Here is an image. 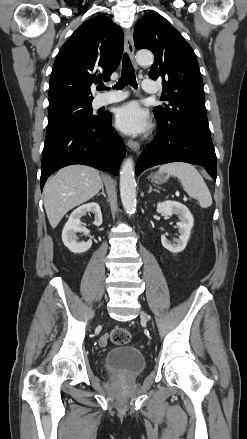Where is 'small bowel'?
Returning <instances> with one entry per match:
<instances>
[{
  "mask_svg": "<svg viewBox=\"0 0 247 439\" xmlns=\"http://www.w3.org/2000/svg\"><path fill=\"white\" fill-rule=\"evenodd\" d=\"M107 339H108L107 336H103L99 341L100 345L105 346L107 344Z\"/></svg>",
  "mask_w": 247,
  "mask_h": 439,
  "instance_id": "small-bowel-1",
  "label": "small bowel"
}]
</instances>
